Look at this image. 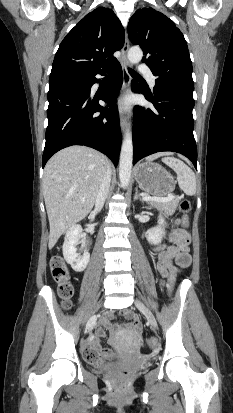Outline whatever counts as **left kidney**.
Wrapping results in <instances>:
<instances>
[{"instance_id": "left-kidney-1", "label": "left kidney", "mask_w": 233, "mask_h": 413, "mask_svg": "<svg viewBox=\"0 0 233 413\" xmlns=\"http://www.w3.org/2000/svg\"><path fill=\"white\" fill-rule=\"evenodd\" d=\"M166 225L165 219L162 216L158 217V225L150 228L146 231L145 236L150 244L157 245L161 243L165 236L164 226Z\"/></svg>"}]
</instances>
